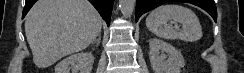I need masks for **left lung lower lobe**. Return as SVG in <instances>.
Returning a JSON list of instances; mask_svg holds the SVG:
<instances>
[{
    "mask_svg": "<svg viewBox=\"0 0 244 73\" xmlns=\"http://www.w3.org/2000/svg\"><path fill=\"white\" fill-rule=\"evenodd\" d=\"M167 2H187L194 4L207 11L215 21L217 20V10L214 0H136V22L142 14Z\"/></svg>",
    "mask_w": 244,
    "mask_h": 73,
    "instance_id": "1",
    "label": "left lung lower lobe"
}]
</instances>
